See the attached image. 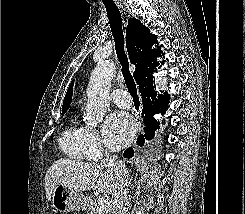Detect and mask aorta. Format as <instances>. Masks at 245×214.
I'll return each instance as SVG.
<instances>
[{"instance_id": "762f6f07", "label": "aorta", "mask_w": 245, "mask_h": 214, "mask_svg": "<svg viewBox=\"0 0 245 214\" xmlns=\"http://www.w3.org/2000/svg\"><path fill=\"white\" fill-rule=\"evenodd\" d=\"M115 73L113 62H102L91 74L87 88L88 101L84 113V122L96 127L104 118L109 107V89Z\"/></svg>"}]
</instances>
